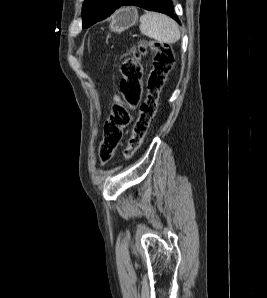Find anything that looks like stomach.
<instances>
[{
    "mask_svg": "<svg viewBox=\"0 0 267 298\" xmlns=\"http://www.w3.org/2000/svg\"><path fill=\"white\" fill-rule=\"evenodd\" d=\"M110 19L109 29L112 32L120 33L135 25L138 20V13L132 7H124L113 13Z\"/></svg>",
    "mask_w": 267,
    "mask_h": 298,
    "instance_id": "stomach-1",
    "label": "stomach"
}]
</instances>
